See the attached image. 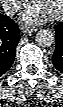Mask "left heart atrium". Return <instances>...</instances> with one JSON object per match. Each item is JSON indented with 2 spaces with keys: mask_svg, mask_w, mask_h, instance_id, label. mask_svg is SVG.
<instances>
[{
  "mask_svg": "<svg viewBox=\"0 0 63 107\" xmlns=\"http://www.w3.org/2000/svg\"><path fill=\"white\" fill-rule=\"evenodd\" d=\"M50 14L43 10L41 7H39L36 4L28 6V8L23 12V19L27 23H41L45 21Z\"/></svg>",
  "mask_w": 63,
  "mask_h": 107,
  "instance_id": "obj_1",
  "label": "left heart atrium"
}]
</instances>
